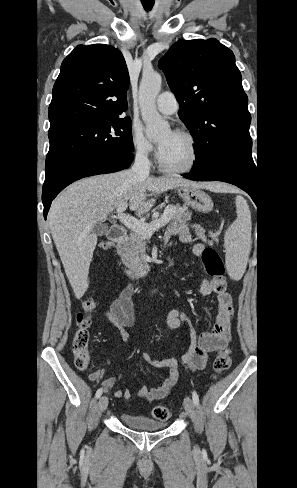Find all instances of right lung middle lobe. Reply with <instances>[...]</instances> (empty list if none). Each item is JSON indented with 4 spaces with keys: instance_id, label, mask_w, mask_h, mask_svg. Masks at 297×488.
Returning <instances> with one entry per match:
<instances>
[{
    "instance_id": "1",
    "label": "right lung middle lobe",
    "mask_w": 297,
    "mask_h": 488,
    "mask_svg": "<svg viewBox=\"0 0 297 488\" xmlns=\"http://www.w3.org/2000/svg\"><path fill=\"white\" fill-rule=\"evenodd\" d=\"M48 136L50 149L46 157L45 179L80 160L134 150L129 117L76 124L48 133Z\"/></svg>"
}]
</instances>
